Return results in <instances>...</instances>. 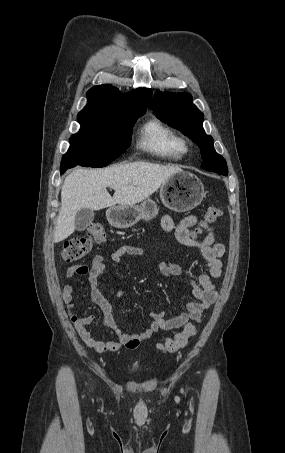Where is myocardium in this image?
Here are the masks:
<instances>
[{
  "label": "myocardium",
  "instance_id": "myocardium-1",
  "mask_svg": "<svg viewBox=\"0 0 285 453\" xmlns=\"http://www.w3.org/2000/svg\"><path fill=\"white\" fill-rule=\"evenodd\" d=\"M182 145H183L184 150H186L188 148V142L187 141L182 140Z\"/></svg>",
  "mask_w": 285,
  "mask_h": 453
}]
</instances>
